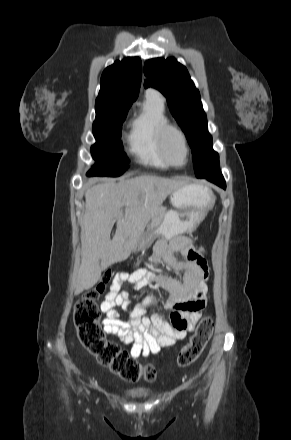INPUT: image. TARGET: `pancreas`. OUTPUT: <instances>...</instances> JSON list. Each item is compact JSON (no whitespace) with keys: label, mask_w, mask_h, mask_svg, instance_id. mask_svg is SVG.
I'll use <instances>...</instances> for the list:
<instances>
[{"label":"pancreas","mask_w":291,"mask_h":440,"mask_svg":"<svg viewBox=\"0 0 291 440\" xmlns=\"http://www.w3.org/2000/svg\"><path fill=\"white\" fill-rule=\"evenodd\" d=\"M166 207H160L156 213L153 215L150 224L147 227L146 235L153 234L154 231L158 228V226L161 224L165 214H166Z\"/></svg>","instance_id":"1"}]
</instances>
